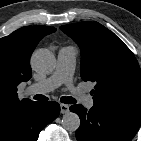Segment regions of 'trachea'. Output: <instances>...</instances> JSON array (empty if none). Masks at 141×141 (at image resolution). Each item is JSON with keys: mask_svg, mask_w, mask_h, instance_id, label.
Returning a JSON list of instances; mask_svg holds the SVG:
<instances>
[{"mask_svg": "<svg viewBox=\"0 0 141 141\" xmlns=\"http://www.w3.org/2000/svg\"><path fill=\"white\" fill-rule=\"evenodd\" d=\"M33 98L35 100H38V101H46V100H48V98L46 96H44V95H35ZM60 101L62 103H65V104H74V103H76V100L73 97H66V96L61 97Z\"/></svg>", "mask_w": 141, "mask_h": 141, "instance_id": "obj_1", "label": "trachea"}]
</instances>
